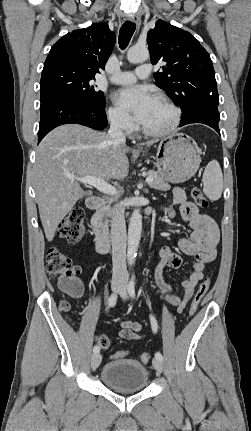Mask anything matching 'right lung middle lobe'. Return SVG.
<instances>
[{
  "instance_id": "right-lung-middle-lobe-1",
  "label": "right lung middle lobe",
  "mask_w": 251,
  "mask_h": 431,
  "mask_svg": "<svg viewBox=\"0 0 251 431\" xmlns=\"http://www.w3.org/2000/svg\"><path fill=\"white\" fill-rule=\"evenodd\" d=\"M94 75L65 64L50 65L43 69L40 81L41 100L55 95L75 98L101 105L105 103L103 92L92 85Z\"/></svg>"
}]
</instances>
